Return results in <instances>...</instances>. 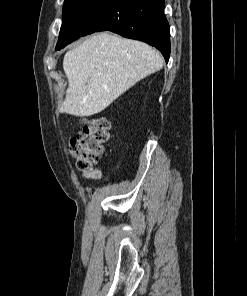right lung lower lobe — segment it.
<instances>
[{
    "mask_svg": "<svg viewBox=\"0 0 247 296\" xmlns=\"http://www.w3.org/2000/svg\"><path fill=\"white\" fill-rule=\"evenodd\" d=\"M99 31L146 42L169 60L170 29L164 0H108L88 20L82 36Z\"/></svg>",
    "mask_w": 247,
    "mask_h": 296,
    "instance_id": "right-lung-lower-lobe-1",
    "label": "right lung lower lobe"
}]
</instances>
